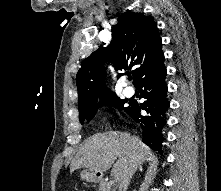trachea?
<instances>
[{"label":"trachea","mask_w":221,"mask_h":191,"mask_svg":"<svg viewBox=\"0 0 221 191\" xmlns=\"http://www.w3.org/2000/svg\"><path fill=\"white\" fill-rule=\"evenodd\" d=\"M129 80H132V76H129Z\"/></svg>","instance_id":"trachea-1"}]
</instances>
